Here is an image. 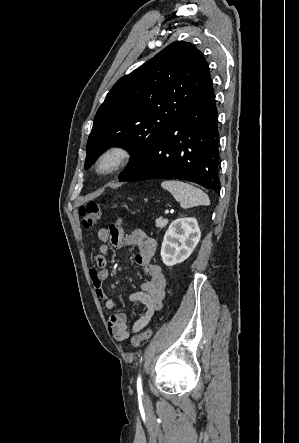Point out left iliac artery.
<instances>
[{
  "label": "left iliac artery",
  "mask_w": 299,
  "mask_h": 443,
  "mask_svg": "<svg viewBox=\"0 0 299 443\" xmlns=\"http://www.w3.org/2000/svg\"><path fill=\"white\" fill-rule=\"evenodd\" d=\"M137 389L142 390V381H141L140 375L138 376V379H137Z\"/></svg>",
  "instance_id": "1"
}]
</instances>
